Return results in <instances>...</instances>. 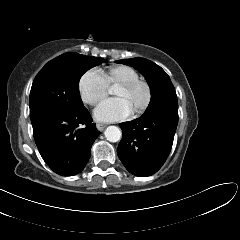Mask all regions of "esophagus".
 <instances>
[{
    "label": "esophagus",
    "instance_id": "esophagus-1",
    "mask_svg": "<svg viewBox=\"0 0 240 240\" xmlns=\"http://www.w3.org/2000/svg\"><path fill=\"white\" fill-rule=\"evenodd\" d=\"M105 127H106V124H104V123H97V129L98 130L103 131Z\"/></svg>",
    "mask_w": 240,
    "mask_h": 240
}]
</instances>
